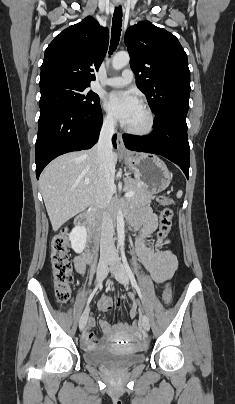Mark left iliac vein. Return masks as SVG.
<instances>
[{
	"label": "left iliac vein",
	"instance_id": "1",
	"mask_svg": "<svg viewBox=\"0 0 235 404\" xmlns=\"http://www.w3.org/2000/svg\"><path fill=\"white\" fill-rule=\"evenodd\" d=\"M112 260L113 261L110 263V265H111L112 269L115 271L114 276H115L116 280L119 283L123 284L124 286H127L129 284V277H128L126 270L124 269V267L122 266V264L120 262V258H119V255L117 252H114ZM141 322H142V326H143L144 330L149 331L150 323H149V319L146 315L142 316Z\"/></svg>",
	"mask_w": 235,
	"mask_h": 404
}]
</instances>
